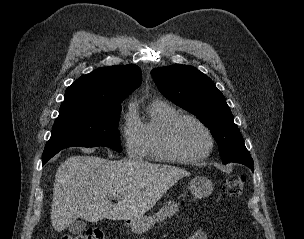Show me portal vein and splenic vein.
I'll return each mask as SVG.
<instances>
[{"instance_id":"1","label":"portal vein and splenic vein","mask_w":304,"mask_h":239,"mask_svg":"<svg viewBox=\"0 0 304 239\" xmlns=\"http://www.w3.org/2000/svg\"><path fill=\"white\" fill-rule=\"evenodd\" d=\"M111 197L114 198V199H119L120 198V196L118 194H113Z\"/></svg>"}]
</instances>
